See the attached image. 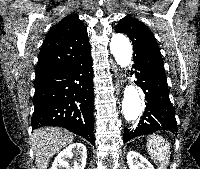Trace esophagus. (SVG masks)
<instances>
[{"mask_svg": "<svg viewBox=\"0 0 200 169\" xmlns=\"http://www.w3.org/2000/svg\"><path fill=\"white\" fill-rule=\"evenodd\" d=\"M114 72H115V74H118V69H117V67L115 66V68H114ZM118 78H120L119 76H118ZM116 88H119V86H120V84H119V79H117V81H116Z\"/></svg>", "mask_w": 200, "mask_h": 169, "instance_id": "obj_1", "label": "esophagus"}]
</instances>
